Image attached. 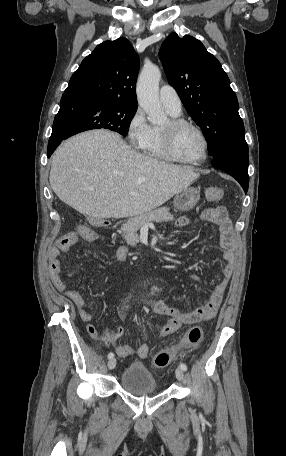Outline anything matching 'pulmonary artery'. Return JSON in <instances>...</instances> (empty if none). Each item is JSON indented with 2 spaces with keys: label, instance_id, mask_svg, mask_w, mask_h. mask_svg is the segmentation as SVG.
Masks as SVG:
<instances>
[{
  "label": "pulmonary artery",
  "instance_id": "e3ab8cb5",
  "mask_svg": "<svg viewBox=\"0 0 286 456\" xmlns=\"http://www.w3.org/2000/svg\"><path fill=\"white\" fill-rule=\"evenodd\" d=\"M159 98L162 106L172 115H180L182 112L181 100L176 90L169 85L160 88Z\"/></svg>",
  "mask_w": 286,
  "mask_h": 456
}]
</instances>
